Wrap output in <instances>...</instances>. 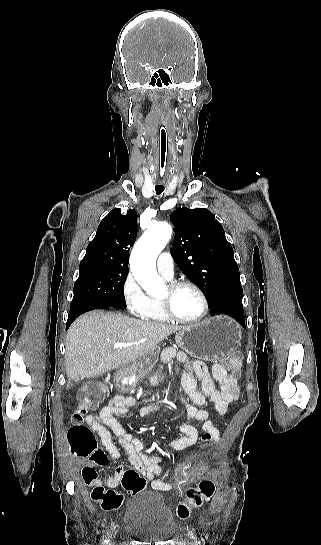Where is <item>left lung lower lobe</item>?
<instances>
[{
    "label": "left lung lower lobe",
    "mask_w": 321,
    "mask_h": 545,
    "mask_svg": "<svg viewBox=\"0 0 321 545\" xmlns=\"http://www.w3.org/2000/svg\"><path fill=\"white\" fill-rule=\"evenodd\" d=\"M242 287H235L222 292L209 302L211 315L225 314L236 319L245 329L244 311L242 305Z\"/></svg>",
    "instance_id": "left-lung-lower-lobe-1"
}]
</instances>
